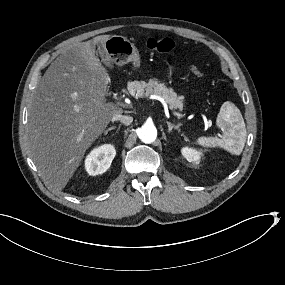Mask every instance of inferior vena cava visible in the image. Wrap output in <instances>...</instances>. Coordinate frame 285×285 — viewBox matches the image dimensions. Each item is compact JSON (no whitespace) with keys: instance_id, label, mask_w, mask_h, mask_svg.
<instances>
[{"instance_id":"602c4592","label":"inferior vena cava","mask_w":285,"mask_h":285,"mask_svg":"<svg viewBox=\"0 0 285 285\" xmlns=\"http://www.w3.org/2000/svg\"><path fill=\"white\" fill-rule=\"evenodd\" d=\"M111 120L113 122L114 121H121L122 123L127 124V125H129L132 122V118L131 117L125 116V115H122V114H118V113L114 114Z\"/></svg>"}]
</instances>
